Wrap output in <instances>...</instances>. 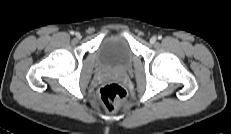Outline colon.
<instances>
[{
	"mask_svg": "<svg viewBox=\"0 0 231 134\" xmlns=\"http://www.w3.org/2000/svg\"><path fill=\"white\" fill-rule=\"evenodd\" d=\"M98 99L107 111L114 112L125 101L126 92L120 85L110 83L100 89Z\"/></svg>",
	"mask_w": 231,
	"mask_h": 134,
	"instance_id": "1",
	"label": "colon"
}]
</instances>
